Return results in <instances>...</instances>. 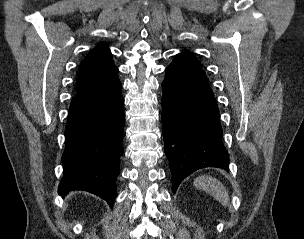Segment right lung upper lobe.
I'll use <instances>...</instances> for the list:
<instances>
[{
    "label": "right lung upper lobe",
    "instance_id": "cb5924a9",
    "mask_svg": "<svg viewBox=\"0 0 304 239\" xmlns=\"http://www.w3.org/2000/svg\"><path fill=\"white\" fill-rule=\"evenodd\" d=\"M116 70L107 45L100 44L80 64L77 93L96 85Z\"/></svg>",
    "mask_w": 304,
    "mask_h": 239
}]
</instances>
